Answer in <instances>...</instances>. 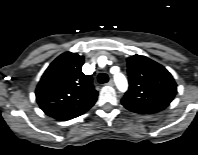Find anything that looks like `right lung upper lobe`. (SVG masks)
<instances>
[{"label": "right lung upper lobe", "instance_id": "1", "mask_svg": "<svg viewBox=\"0 0 198 155\" xmlns=\"http://www.w3.org/2000/svg\"><path fill=\"white\" fill-rule=\"evenodd\" d=\"M83 64V56L66 52L46 69L36 88V100L45 114L68 120L82 115L95 104L98 92L91 77L83 74Z\"/></svg>", "mask_w": 198, "mask_h": 155}]
</instances>
